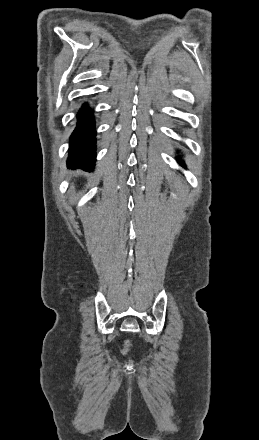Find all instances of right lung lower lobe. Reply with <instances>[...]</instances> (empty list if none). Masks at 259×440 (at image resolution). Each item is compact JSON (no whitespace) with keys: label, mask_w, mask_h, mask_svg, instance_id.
I'll return each mask as SVG.
<instances>
[{"label":"right lung lower lobe","mask_w":259,"mask_h":440,"mask_svg":"<svg viewBox=\"0 0 259 440\" xmlns=\"http://www.w3.org/2000/svg\"><path fill=\"white\" fill-rule=\"evenodd\" d=\"M77 126L71 135L69 168H84L91 171L95 163V125L94 117L87 104L77 115Z\"/></svg>","instance_id":"right-lung-lower-lobe-1"}]
</instances>
